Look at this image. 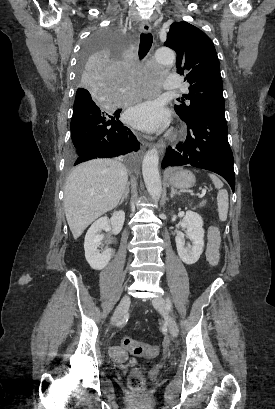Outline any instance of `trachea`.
<instances>
[{
	"mask_svg": "<svg viewBox=\"0 0 275 409\" xmlns=\"http://www.w3.org/2000/svg\"><path fill=\"white\" fill-rule=\"evenodd\" d=\"M153 43V36L151 33H142L140 35L139 58L143 59L149 52Z\"/></svg>",
	"mask_w": 275,
	"mask_h": 409,
	"instance_id": "1",
	"label": "trachea"
}]
</instances>
